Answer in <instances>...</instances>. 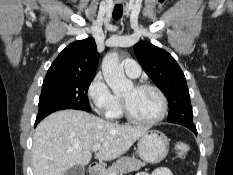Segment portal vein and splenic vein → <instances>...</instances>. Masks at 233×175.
I'll use <instances>...</instances> for the list:
<instances>
[{
  "label": "portal vein and splenic vein",
  "instance_id": "obj_1",
  "mask_svg": "<svg viewBox=\"0 0 233 175\" xmlns=\"http://www.w3.org/2000/svg\"><path fill=\"white\" fill-rule=\"evenodd\" d=\"M100 147H101L100 144H95V145L93 146V148H92V151H93V152H97V151L100 149ZM113 175H115V174H113Z\"/></svg>",
  "mask_w": 233,
  "mask_h": 175
}]
</instances>
